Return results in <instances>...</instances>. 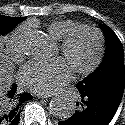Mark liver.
Returning <instances> with one entry per match:
<instances>
[{"mask_svg":"<svg viewBox=\"0 0 125 125\" xmlns=\"http://www.w3.org/2000/svg\"><path fill=\"white\" fill-rule=\"evenodd\" d=\"M10 65L6 55L3 53L2 44L0 43V97H3L11 85Z\"/></svg>","mask_w":125,"mask_h":125,"instance_id":"liver-1","label":"liver"}]
</instances>
